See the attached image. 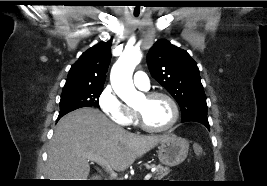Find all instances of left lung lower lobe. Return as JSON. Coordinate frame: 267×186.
<instances>
[{
    "mask_svg": "<svg viewBox=\"0 0 267 186\" xmlns=\"http://www.w3.org/2000/svg\"><path fill=\"white\" fill-rule=\"evenodd\" d=\"M200 123H202L203 125H205L208 129H209V123L208 122H200Z\"/></svg>",
    "mask_w": 267,
    "mask_h": 186,
    "instance_id": "obj_1",
    "label": "left lung lower lobe"
}]
</instances>
